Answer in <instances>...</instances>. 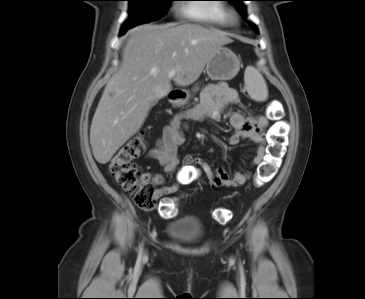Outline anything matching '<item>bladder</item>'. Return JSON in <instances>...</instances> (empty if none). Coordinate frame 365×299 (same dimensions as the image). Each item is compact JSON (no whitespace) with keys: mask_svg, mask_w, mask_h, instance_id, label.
<instances>
[{"mask_svg":"<svg viewBox=\"0 0 365 299\" xmlns=\"http://www.w3.org/2000/svg\"><path fill=\"white\" fill-rule=\"evenodd\" d=\"M167 237L177 243L189 244L199 240L204 234V226L194 216H185L168 224Z\"/></svg>","mask_w":365,"mask_h":299,"instance_id":"obj_1","label":"bladder"}]
</instances>
